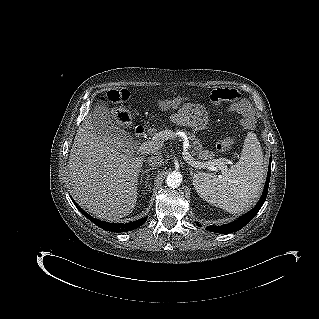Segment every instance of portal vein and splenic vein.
Here are the masks:
<instances>
[{
    "label": "portal vein and splenic vein",
    "instance_id": "portal-vein-and-splenic-vein-1",
    "mask_svg": "<svg viewBox=\"0 0 319 319\" xmlns=\"http://www.w3.org/2000/svg\"><path fill=\"white\" fill-rule=\"evenodd\" d=\"M178 135V133H175L171 130H164L161 131L159 133L156 134V136L153 138L152 141H147L142 143L139 147H138V152H143V153H150V152H154L155 150H158L159 146V140L163 139V140H167V139H173ZM188 140H185L184 142V146H183V158L184 160L191 165L192 167L201 169V168H206L208 170L211 171H216L217 169L221 170V171H225L226 170V160H224L223 158L221 159H215V161L212 162H205L202 163L200 161H196L188 152Z\"/></svg>",
    "mask_w": 319,
    "mask_h": 319
}]
</instances>
